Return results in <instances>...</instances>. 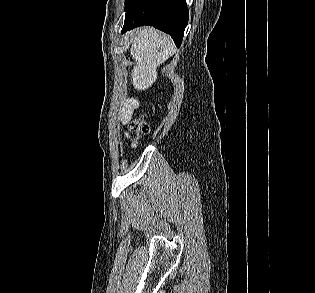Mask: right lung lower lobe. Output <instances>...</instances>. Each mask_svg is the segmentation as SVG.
<instances>
[{"mask_svg": "<svg viewBox=\"0 0 315 293\" xmlns=\"http://www.w3.org/2000/svg\"><path fill=\"white\" fill-rule=\"evenodd\" d=\"M122 33L138 26L150 25L162 30L180 46L188 24L186 0H126Z\"/></svg>", "mask_w": 315, "mask_h": 293, "instance_id": "right-lung-lower-lobe-1", "label": "right lung lower lobe"}]
</instances>
